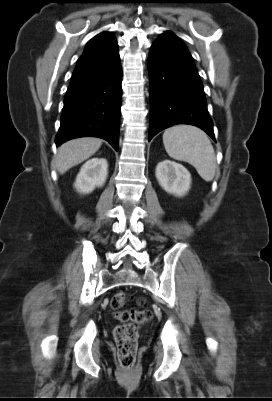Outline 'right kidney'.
<instances>
[{
	"instance_id": "ca27d5eb",
	"label": "right kidney",
	"mask_w": 272,
	"mask_h": 401,
	"mask_svg": "<svg viewBox=\"0 0 272 401\" xmlns=\"http://www.w3.org/2000/svg\"><path fill=\"white\" fill-rule=\"evenodd\" d=\"M108 163L104 158H92L80 169L74 183L75 189L82 193H91L96 187H102L107 179Z\"/></svg>"
}]
</instances>
